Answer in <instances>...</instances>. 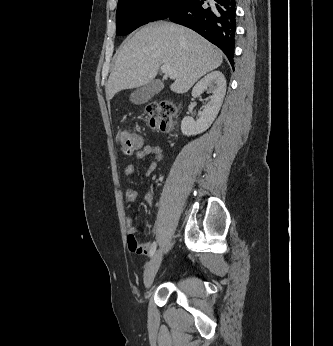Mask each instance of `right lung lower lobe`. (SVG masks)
I'll list each match as a JSON object with an SVG mask.
<instances>
[{
	"label": "right lung lower lobe",
	"instance_id": "obj_1",
	"mask_svg": "<svg viewBox=\"0 0 333 346\" xmlns=\"http://www.w3.org/2000/svg\"><path fill=\"white\" fill-rule=\"evenodd\" d=\"M168 19L196 31L218 46L234 65L235 0H185Z\"/></svg>",
	"mask_w": 333,
	"mask_h": 346
}]
</instances>
